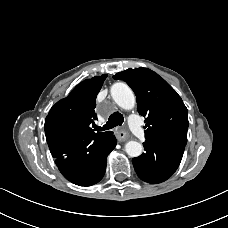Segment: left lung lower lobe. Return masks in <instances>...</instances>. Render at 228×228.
I'll return each instance as SVG.
<instances>
[{
    "label": "left lung lower lobe",
    "mask_w": 228,
    "mask_h": 228,
    "mask_svg": "<svg viewBox=\"0 0 228 228\" xmlns=\"http://www.w3.org/2000/svg\"><path fill=\"white\" fill-rule=\"evenodd\" d=\"M143 146L145 153L132 159L139 178L151 184L170 178L181 162L184 146L166 139H146Z\"/></svg>",
    "instance_id": "1"
}]
</instances>
